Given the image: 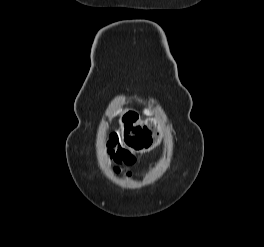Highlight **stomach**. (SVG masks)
I'll return each instance as SVG.
<instances>
[{
  "label": "stomach",
  "instance_id": "stomach-1",
  "mask_svg": "<svg viewBox=\"0 0 264 247\" xmlns=\"http://www.w3.org/2000/svg\"><path fill=\"white\" fill-rule=\"evenodd\" d=\"M120 124L124 144L137 152L150 151L160 141V122L156 119L136 121L130 114H125L121 116Z\"/></svg>",
  "mask_w": 264,
  "mask_h": 247
}]
</instances>
